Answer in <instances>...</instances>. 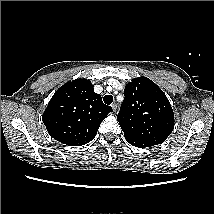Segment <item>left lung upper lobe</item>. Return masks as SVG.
Wrapping results in <instances>:
<instances>
[{
	"label": "left lung upper lobe",
	"mask_w": 214,
	"mask_h": 214,
	"mask_svg": "<svg viewBox=\"0 0 214 214\" xmlns=\"http://www.w3.org/2000/svg\"><path fill=\"white\" fill-rule=\"evenodd\" d=\"M125 98L117 120L126 140L157 145L174 128V113L165 93L147 77L134 78L125 86Z\"/></svg>",
	"instance_id": "left-lung-upper-lobe-1"
}]
</instances>
